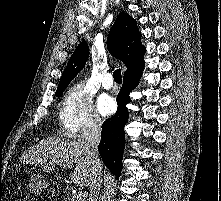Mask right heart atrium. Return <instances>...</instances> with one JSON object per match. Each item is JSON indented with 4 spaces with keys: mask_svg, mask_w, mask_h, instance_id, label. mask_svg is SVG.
<instances>
[{
    "mask_svg": "<svg viewBox=\"0 0 221 201\" xmlns=\"http://www.w3.org/2000/svg\"><path fill=\"white\" fill-rule=\"evenodd\" d=\"M59 118L63 131L69 135L94 130L101 125L92 95L83 83H75L68 88L62 101Z\"/></svg>",
    "mask_w": 221,
    "mask_h": 201,
    "instance_id": "obj_1",
    "label": "right heart atrium"
}]
</instances>
